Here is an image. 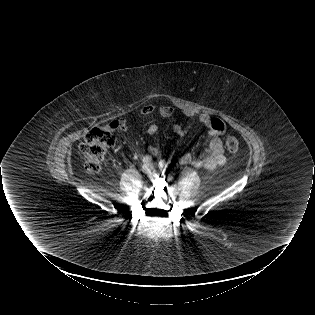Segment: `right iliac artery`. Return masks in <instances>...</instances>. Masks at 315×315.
<instances>
[{
  "label": "right iliac artery",
  "mask_w": 315,
  "mask_h": 315,
  "mask_svg": "<svg viewBox=\"0 0 315 315\" xmlns=\"http://www.w3.org/2000/svg\"><path fill=\"white\" fill-rule=\"evenodd\" d=\"M151 160H152V158H151V156H149V155H146V156L143 158V162H144V163H149V162H151Z\"/></svg>",
  "instance_id": "82829eb1"
}]
</instances>
